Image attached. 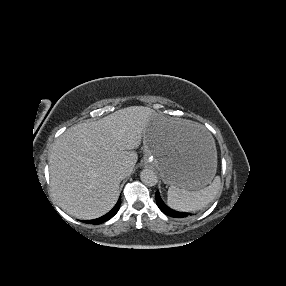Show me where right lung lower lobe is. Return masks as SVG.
Wrapping results in <instances>:
<instances>
[{"label": "right lung lower lobe", "instance_id": "1", "mask_svg": "<svg viewBox=\"0 0 286 286\" xmlns=\"http://www.w3.org/2000/svg\"><path fill=\"white\" fill-rule=\"evenodd\" d=\"M120 204H121V199L119 198V200L116 203V205L114 206V208L110 212H108L106 215H104L100 218L94 219V220H88V221H84V222L88 223V224H101V223L111 219L118 212Z\"/></svg>", "mask_w": 286, "mask_h": 286}]
</instances>
